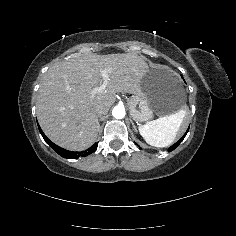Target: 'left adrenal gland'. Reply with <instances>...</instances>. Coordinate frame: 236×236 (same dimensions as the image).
Returning <instances> with one entry per match:
<instances>
[{
	"instance_id": "left-adrenal-gland-1",
	"label": "left adrenal gland",
	"mask_w": 236,
	"mask_h": 236,
	"mask_svg": "<svg viewBox=\"0 0 236 236\" xmlns=\"http://www.w3.org/2000/svg\"><path fill=\"white\" fill-rule=\"evenodd\" d=\"M130 122H131V124H132V126H133V130H134L135 132H138V130L136 129V126H135L134 122H133L132 120H130Z\"/></svg>"
}]
</instances>
